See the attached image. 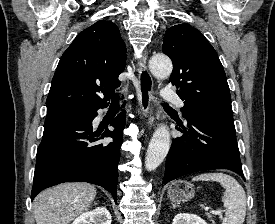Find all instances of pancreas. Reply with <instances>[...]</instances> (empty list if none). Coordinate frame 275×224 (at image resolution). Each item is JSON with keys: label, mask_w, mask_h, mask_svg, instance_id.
I'll use <instances>...</instances> for the list:
<instances>
[{"label": "pancreas", "mask_w": 275, "mask_h": 224, "mask_svg": "<svg viewBox=\"0 0 275 224\" xmlns=\"http://www.w3.org/2000/svg\"><path fill=\"white\" fill-rule=\"evenodd\" d=\"M208 218H211V216H210V215H208Z\"/></svg>", "instance_id": "pancreas-1"}]
</instances>
